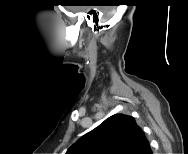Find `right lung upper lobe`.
<instances>
[{"label": "right lung upper lobe", "instance_id": "obj_1", "mask_svg": "<svg viewBox=\"0 0 188 154\" xmlns=\"http://www.w3.org/2000/svg\"><path fill=\"white\" fill-rule=\"evenodd\" d=\"M150 144L135 119L115 114L82 136L66 154H149Z\"/></svg>", "mask_w": 188, "mask_h": 154}]
</instances>
